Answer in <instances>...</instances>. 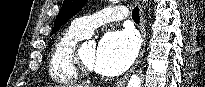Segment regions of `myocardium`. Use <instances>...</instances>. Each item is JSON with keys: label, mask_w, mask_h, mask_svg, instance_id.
<instances>
[{"label": "myocardium", "mask_w": 205, "mask_h": 87, "mask_svg": "<svg viewBox=\"0 0 205 87\" xmlns=\"http://www.w3.org/2000/svg\"><path fill=\"white\" fill-rule=\"evenodd\" d=\"M72 62L74 65V68L76 69L79 77L82 78H88L95 75V72L93 69L88 67L82 60L81 57V45L77 44L72 52Z\"/></svg>", "instance_id": "myocardium-1"}]
</instances>
